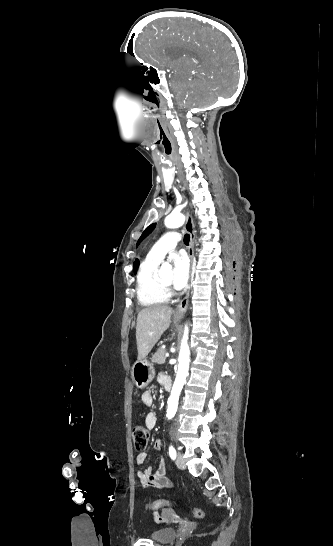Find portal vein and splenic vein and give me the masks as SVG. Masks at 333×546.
<instances>
[{
    "label": "portal vein and splenic vein",
    "mask_w": 333,
    "mask_h": 546,
    "mask_svg": "<svg viewBox=\"0 0 333 546\" xmlns=\"http://www.w3.org/2000/svg\"><path fill=\"white\" fill-rule=\"evenodd\" d=\"M165 357H169V353H168V352L165 354Z\"/></svg>",
    "instance_id": "obj_1"
}]
</instances>
